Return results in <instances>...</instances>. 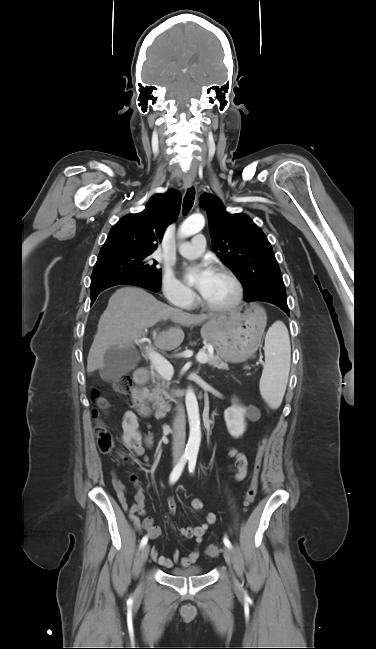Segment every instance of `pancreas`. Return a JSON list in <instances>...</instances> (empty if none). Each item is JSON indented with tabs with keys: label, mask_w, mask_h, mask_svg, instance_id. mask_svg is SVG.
<instances>
[{
	"label": "pancreas",
	"mask_w": 376,
	"mask_h": 649,
	"mask_svg": "<svg viewBox=\"0 0 376 649\" xmlns=\"http://www.w3.org/2000/svg\"><path fill=\"white\" fill-rule=\"evenodd\" d=\"M201 352H205V349H203ZM208 356V365L216 367L218 369H226L228 370V364L222 360L219 356ZM151 370V378L152 382L155 384V387L151 390V392H147L145 394V399L147 403L152 404L153 409H158V410H165L166 407V402L163 398V395H166L165 389H167L170 385L169 382L166 381L164 377H162L151 365L150 367Z\"/></svg>",
	"instance_id": "1"
}]
</instances>
